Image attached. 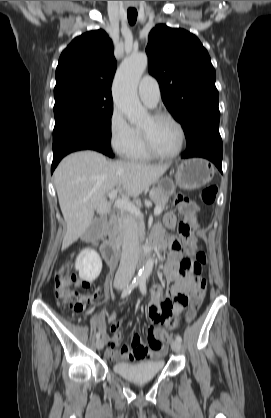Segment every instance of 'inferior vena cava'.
Returning <instances> with one entry per match:
<instances>
[{
	"instance_id": "1",
	"label": "inferior vena cava",
	"mask_w": 271,
	"mask_h": 418,
	"mask_svg": "<svg viewBox=\"0 0 271 418\" xmlns=\"http://www.w3.org/2000/svg\"><path fill=\"white\" fill-rule=\"evenodd\" d=\"M123 242L121 261L115 275L114 284H127L131 281L139 254V238L136 225L130 218L123 221Z\"/></svg>"
}]
</instances>
